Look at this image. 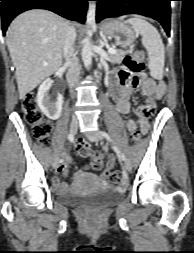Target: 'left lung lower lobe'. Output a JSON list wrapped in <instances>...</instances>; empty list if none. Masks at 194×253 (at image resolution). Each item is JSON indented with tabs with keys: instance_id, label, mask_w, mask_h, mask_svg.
<instances>
[{
	"instance_id": "left-lung-lower-lobe-1",
	"label": "left lung lower lobe",
	"mask_w": 194,
	"mask_h": 253,
	"mask_svg": "<svg viewBox=\"0 0 194 253\" xmlns=\"http://www.w3.org/2000/svg\"><path fill=\"white\" fill-rule=\"evenodd\" d=\"M96 20L117 17L124 14H140L151 17L164 27L170 35L171 0H96Z\"/></svg>"
}]
</instances>
